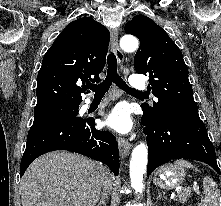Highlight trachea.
<instances>
[{
	"instance_id": "obj_1",
	"label": "trachea",
	"mask_w": 221,
	"mask_h": 206,
	"mask_svg": "<svg viewBox=\"0 0 221 206\" xmlns=\"http://www.w3.org/2000/svg\"><path fill=\"white\" fill-rule=\"evenodd\" d=\"M107 64H108V69L105 80H103V82L98 85L90 84L87 86L88 89H91L93 92H95V96H104L113 82L116 84V86H118L120 89L124 91L143 94V92L134 90L131 87H129L123 81L121 76H119L117 72V59L113 53H110L108 55Z\"/></svg>"
}]
</instances>
